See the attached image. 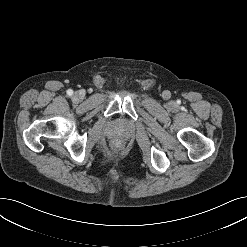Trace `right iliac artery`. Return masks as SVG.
Segmentation results:
<instances>
[{
    "label": "right iliac artery",
    "mask_w": 247,
    "mask_h": 247,
    "mask_svg": "<svg viewBox=\"0 0 247 247\" xmlns=\"http://www.w3.org/2000/svg\"><path fill=\"white\" fill-rule=\"evenodd\" d=\"M67 94H68L69 96H72L73 90H71V89L67 90Z\"/></svg>",
    "instance_id": "1"
}]
</instances>
